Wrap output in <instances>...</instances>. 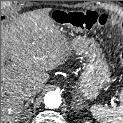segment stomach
I'll return each mask as SVG.
<instances>
[{
	"mask_svg": "<svg viewBox=\"0 0 123 123\" xmlns=\"http://www.w3.org/2000/svg\"><path fill=\"white\" fill-rule=\"evenodd\" d=\"M76 12L80 11L58 9L53 13V19L72 32H82L86 30L87 24L83 16ZM77 53L85 58L86 64L74 88L82 97L94 100L99 95L100 90L110 82L109 67L105 62L102 51L93 41H84L78 47Z\"/></svg>",
	"mask_w": 123,
	"mask_h": 123,
	"instance_id": "1",
	"label": "stomach"
}]
</instances>
